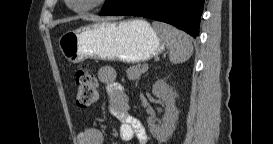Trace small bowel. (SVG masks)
<instances>
[{
    "label": "small bowel",
    "mask_w": 273,
    "mask_h": 144,
    "mask_svg": "<svg viewBox=\"0 0 273 144\" xmlns=\"http://www.w3.org/2000/svg\"><path fill=\"white\" fill-rule=\"evenodd\" d=\"M99 80L109 85V111L119 120V136L122 141L128 142L136 138L140 144H146L148 137L141 122L130 113L129 97L122 87L116 83V72L105 66L98 72ZM104 135L98 128L90 127L76 136V144H103Z\"/></svg>",
    "instance_id": "c3829d8e"
}]
</instances>
